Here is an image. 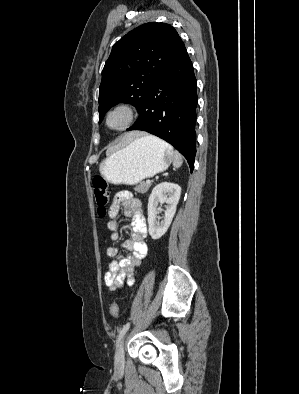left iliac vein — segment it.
<instances>
[{
  "instance_id": "4c4485c4",
  "label": "left iliac vein",
  "mask_w": 299,
  "mask_h": 394,
  "mask_svg": "<svg viewBox=\"0 0 299 394\" xmlns=\"http://www.w3.org/2000/svg\"><path fill=\"white\" fill-rule=\"evenodd\" d=\"M115 364L117 367H120L124 364V338L118 344L115 356Z\"/></svg>"
}]
</instances>
